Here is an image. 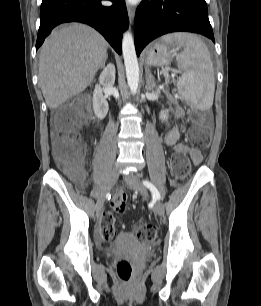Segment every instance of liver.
<instances>
[{
	"mask_svg": "<svg viewBox=\"0 0 261 306\" xmlns=\"http://www.w3.org/2000/svg\"><path fill=\"white\" fill-rule=\"evenodd\" d=\"M107 48L102 35L81 23L60 27L46 39L39 56V81L50 109L91 84L108 57Z\"/></svg>",
	"mask_w": 261,
	"mask_h": 306,
	"instance_id": "1",
	"label": "liver"
}]
</instances>
